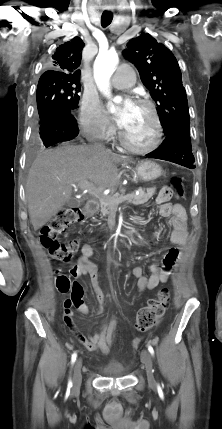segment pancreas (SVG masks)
Returning <instances> with one entry per match:
<instances>
[{"label":"pancreas","mask_w":222,"mask_h":429,"mask_svg":"<svg viewBox=\"0 0 222 429\" xmlns=\"http://www.w3.org/2000/svg\"><path fill=\"white\" fill-rule=\"evenodd\" d=\"M156 188H147L146 192L145 189L140 188L139 194L135 195L134 193L128 194L131 195V198L128 200L129 203L133 205H141L146 203L155 193ZM121 195H114V196H102L100 198V204H101V213L103 216L108 217H114L115 213L118 208V204L116 203V200Z\"/></svg>","instance_id":"pancreas-1"}]
</instances>
